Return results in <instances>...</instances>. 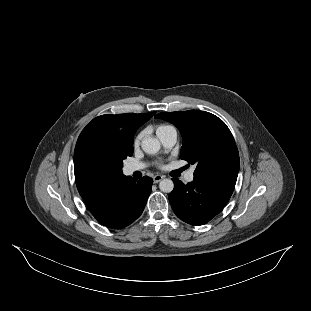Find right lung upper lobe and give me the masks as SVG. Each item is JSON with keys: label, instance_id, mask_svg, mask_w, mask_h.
Listing matches in <instances>:
<instances>
[{"label": "right lung upper lobe", "instance_id": "cb5924a9", "mask_svg": "<svg viewBox=\"0 0 311 311\" xmlns=\"http://www.w3.org/2000/svg\"><path fill=\"white\" fill-rule=\"evenodd\" d=\"M156 112L150 113H127L118 115H101L94 118L81 132L85 133L98 130L116 138L126 147H133V139L136 130L147 122ZM74 174L77 189L82 198L95 188L118 181L124 177L122 170L116 167L94 169L88 167L74 155Z\"/></svg>", "mask_w": 311, "mask_h": 311}]
</instances>
